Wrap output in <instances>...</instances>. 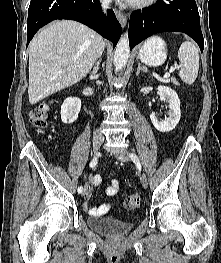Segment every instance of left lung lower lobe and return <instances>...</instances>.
<instances>
[{"mask_svg": "<svg viewBox=\"0 0 221 263\" xmlns=\"http://www.w3.org/2000/svg\"><path fill=\"white\" fill-rule=\"evenodd\" d=\"M184 32L204 48L195 0H157L154 6L134 11L129 22L130 49L160 32Z\"/></svg>", "mask_w": 221, "mask_h": 263, "instance_id": "left-lung-lower-lobe-1", "label": "left lung lower lobe"}]
</instances>
